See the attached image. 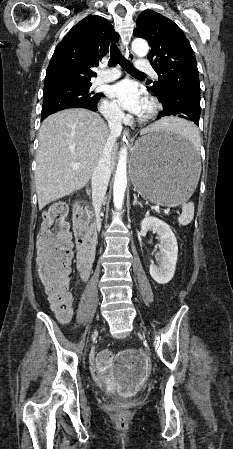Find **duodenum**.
Instances as JSON below:
<instances>
[{
    "mask_svg": "<svg viewBox=\"0 0 233 449\" xmlns=\"http://www.w3.org/2000/svg\"><path fill=\"white\" fill-rule=\"evenodd\" d=\"M75 233L78 247L77 265L79 272L90 274L96 255L97 239L85 215L78 208L75 215Z\"/></svg>",
    "mask_w": 233,
    "mask_h": 449,
    "instance_id": "obj_1",
    "label": "duodenum"
}]
</instances>
